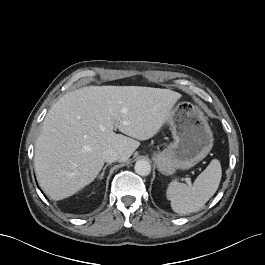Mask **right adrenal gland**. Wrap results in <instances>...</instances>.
<instances>
[{"instance_id": "1", "label": "right adrenal gland", "mask_w": 265, "mask_h": 265, "mask_svg": "<svg viewBox=\"0 0 265 265\" xmlns=\"http://www.w3.org/2000/svg\"><path fill=\"white\" fill-rule=\"evenodd\" d=\"M108 166H109V163L106 164V165L104 166V168H103L101 174L98 176V178H99L100 180L103 179V176H104L105 170H106V168H107Z\"/></svg>"}]
</instances>
